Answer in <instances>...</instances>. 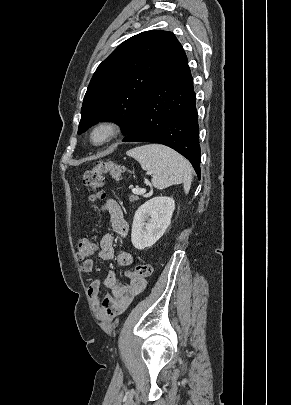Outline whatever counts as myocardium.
Here are the masks:
<instances>
[{"label":"myocardium","mask_w":291,"mask_h":405,"mask_svg":"<svg viewBox=\"0 0 291 405\" xmlns=\"http://www.w3.org/2000/svg\"><path fill=\"white\" fill-rule=\"evenodd\" d=\"M122 131L121 124L114 119H103L93 125L89 132V141L95 147H102L112 142ZM101 135L100 138H97Z\"/></svg>","instance_id":"myocardium-1"}]
</instances>
